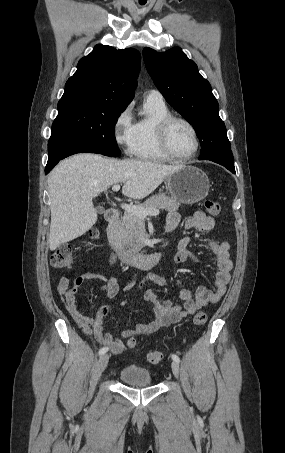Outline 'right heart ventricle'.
Wrapping results in <instances>:
<instances>
[{
    "label": "right heart ventricle",
    "mask_w": 285,
    "mask_h": 453,
    "mask_svg": "<svg viewBox=\"0 0 285 453\" xmlns=\"http://www.w3.org/2000/svg\"><path fill=\"white\" fill-rule=\"evenodd\" d=\"M146 115L133 123L130 154L136 158L151 161H169L160 148L157 138L159 122L171 115L165 103L146 100Z\"/></svg>",
    "instance_id": "1"
}]
</instances>
